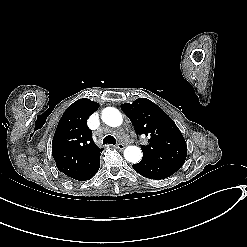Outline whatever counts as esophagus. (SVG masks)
Segmentation results:
<instances>
[{"mask_svg": "<svg viewBox=\"0 0 247 247\" xmlns=\"http://www.w3.org/2000/svg\"><path fill=\"white\" fill-rule=\"evenodd\" d=\"M116 147L121 150L124 149V145L122 143H119Z\"/></svg>", "mask_w": 247, "mask_h": 247, "instance_id": "esophagus-1", "label": "esophagus"}]
</instances>
